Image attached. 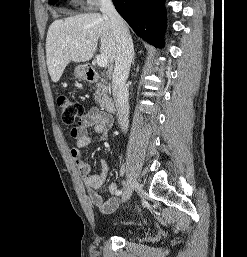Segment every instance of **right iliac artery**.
<instances>
[{
	"mask_svg": "<svg viewBox=\"0 0 247 257\" xmlns=\"http://www.w3.org/2000/svg\"><path fill=\"white\" fill-rule=\"evenodd\" d=\"M122 193V189L118 190L117 194L120 195Z\"/></svg>",
	"mask_w": 247,
	"mask_h": 257,
	"instance_id": "right-iliac-artery-1",
	"label": "right iliac artery"
}]
</instances>
